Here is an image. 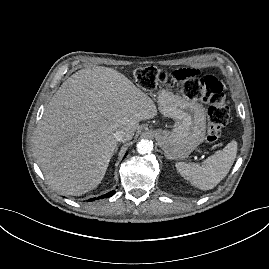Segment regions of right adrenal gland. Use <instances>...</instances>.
Masks as SVG:
<instances>
[{
    "mask_svg": "<svg viewBox=\"0 0 269 269\" xmlns=\"http://www.w3.org/2000/svg\"><path fill=\"white\" fill-rule=\"evenodd\" d=\"M117 150H118V146L116 147V149H115V151H114V153H113V155L117 152Z\"/></svg>",
    "mask_w": 269,
    "mask_h": 269,
    "instance_id": "obj_1",
    "label": "right adrenal gland"
}]
</instances>
